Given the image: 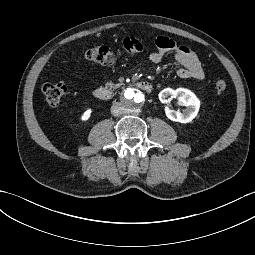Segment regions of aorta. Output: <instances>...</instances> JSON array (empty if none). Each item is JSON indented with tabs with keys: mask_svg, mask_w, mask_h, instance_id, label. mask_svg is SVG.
I'll list each match as a JSON object with an SVG mask.
<instances>
[{
	"mask_svg": "<svg viewBox=\"0 0 255 255\" xmlns=\"http://www.w3.org/2000/svg\"><path fill=\"white\" fill-rule=\"evenodd\" d=\"M123 99L127 106L131 108H139L143 105L145 96L136 88H128L124 92Z\"/></svg>",
	"mask_w": 255,
	"mask_h": 255,
	"instance_id": "1",
	"label": "aorta"
}]
</instances>
